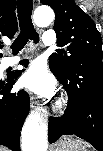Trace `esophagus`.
<instances>
[{"instance_id": "obj_1", "label": "esophagus", "mask_w": 103, "mask_h": 151, "mask_svg": "<svg viewBox=\"0 0 103 151\" xmlns=\"http://www.w3.org/2000/svg\"><path fill=\"white\" fill-rule=\"evenodd\" d=\"M30 104H31L32 108H36L38 106V102H37V100L35 99L34 96H31V98H30Z\"/></svg>"}]
</instances>
